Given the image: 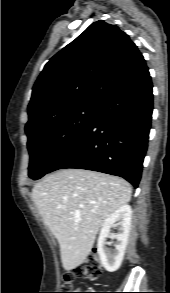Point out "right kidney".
I'll return each instance as SVG.
<instances>
[{
	"label": "right kidney",
	"mask_w": 170,
	"mask_h": 293,
	"mask_svg": "<svg viewBox=\"0 0 170 293\" xmlns=\"http://www.w3.org/2000/svg\"><path fill=\"white\" fill-rule=\"evenodd\" d=\"M132 209L129 205H123L113 212L103 223L98 240L97 251L102 266L109 272L117 271L124 258L128 236L131 226ZM117 227L115 235V249L106 247V239L109 237L111 228Z\"/></svg>",
	"instance_id": "ca27d5eb"
}]
</instances>
